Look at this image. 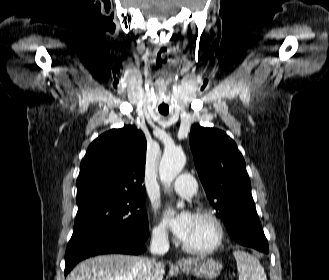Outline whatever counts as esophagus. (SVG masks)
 <instances>
[{"instance_id": "1", "label": "esophagus", "mask_w": 329, "mask_h": 280, "mask_svg": "<svg viewBox=\"0 0 329 280\" xmlns=\"http://www.w3.org/2000/svg\"><path fill=\"white\" fill-rule=\"evenodd\" d=\"M188 263V261L186 260V259H180V260H178V264L179 265H184V264H187Z\"/></svg>"}]
</instances>
